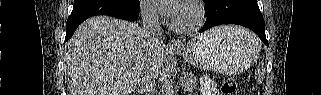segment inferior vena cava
<instances>
[{
	"instance_id": "1",
	"label": "inferior vena cava",
	"mask_w": 321,
	"mask_h": 95,
	"mask_svg": "<svg viewBox=\"0 0 321 95\" xmlns=\"http://www.w3.org/2000/svg\"><path fill=\"white\" fill-rule=\"evenodd\" d=\"M141 16L142 30L145 37L153 44H162V28L157 11L149 5H144L141 7ZM155 78L156 76L148 70L141 74L138 80L141 94L155 95Z\"/></svg>"
}]
</instances>
